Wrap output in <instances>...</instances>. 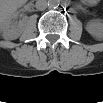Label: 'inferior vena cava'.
I'll return each instance as SVG.
<instances>
[{"instance_id":"obj_1","label":"inferior vena cava","mask_w":103,"mask_h":103,"mask_svg":"<svg viewBox=\"0 0 103 103\" xmlns=\"http://www.w3.org/2000/svg\"><path fill=\"white\" fill-rule=\"evenodd\" d=\"M48 7V3L46 0H38L36 2V8L39 10V11H43L45 10L46 8Z\"/></svg>"}]
</instances>
